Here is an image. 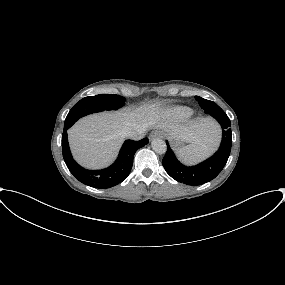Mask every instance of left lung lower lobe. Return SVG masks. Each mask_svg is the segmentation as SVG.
I'll return each mask as SVG.
<instances>
[{"label":"left lung lower lobe","mask_w":285,"mask_h":285,"mask_svg":"<svg viewBox=\"0 0 285 285\" xmlns=\"http://www.w3.org/2000/svg\"><path fill=\"white\" fill-rule=\"evenodd\" d=\"M221 125L223 136L219 150L202 163L187 167L181 164L167 143V152L162 160L166 172L176 181L191 186L202 185L214 179L225 166L231 151L232 134L230 120L223 110L210 114Z\"/></svg>","instance_id":"0a47b994"}]
</instances>
